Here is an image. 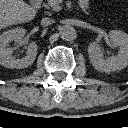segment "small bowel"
<instances>
[{"instance_id":"c3829d8e","label":"small bowel","mask_w":128,"mask_h":128,"mask_svg":"<svg viewBox=\"0 0 128 128\" xmlns=\"http://www.w3.org/2000/svg\"><path fill=\"white\" fill-rule=\"evenodd\" d=\"M79 1L82 8H86L89 2V0H79Z\"/></svg>"}]
</instances>
